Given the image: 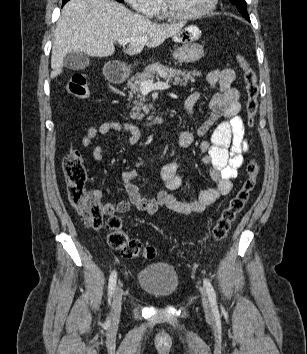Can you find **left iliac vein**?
<instances>
[{"label":"left iliac vein","mask_w":307,"mask_h":354,"mask_svg":"<svg viewBox=\"0 0 307 354\" xmlns=\"http://www.w3.org/2000/svg\"><path fill=\"white\" fill-rule=\"evenodd\" d=\"M201 297H202L203 308H204L206 314L211 315L210 300H209V297L204 289L201 290Z\"/></svg>","instance_id":"1"}]
</instances>
